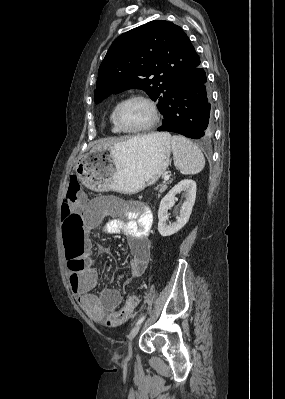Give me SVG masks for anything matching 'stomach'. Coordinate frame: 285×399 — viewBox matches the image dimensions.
Returning a JSON list of instances; mask_svg holds the SVG:
<instances>
[{
    "mask_svg": "<svg viewBox=\"0 0 285 399\" xmlns=\"http://www.w3.org/2000/svg\"><path fill=\"white\" fill-rule=\"evenodd\" d=\"M171 137L137 138L111 149H95L74 166L80 181L96 192L134 194L153 185L169 166Z\"/></svg>",
    "mask_w": 285,
    "mask_h": 399,
    "instance_id": "stomach-1",
    "label": "stomach"
}]
</instances>
